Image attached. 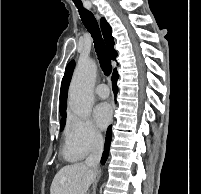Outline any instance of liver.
Instances as JSON below:
<instances>
[{"instance_id": "liver-1", "label": "liver", "mask_w": 201, "mask_h": 194, "mask_svg": "<svg viewBox=\"0 0 201 194\" xmlns=\"http://www.w3.org/2000/svg\"><path fill=\"white\" fill-rule=\"evenodd\" d=\"M96 177V170L85 163L62 167L55 175L50 194H86Z\"/></svg>"}]
</instances>
